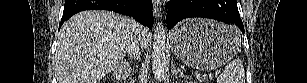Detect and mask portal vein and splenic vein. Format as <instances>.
Here are the masks:
<instances>
[{
	"label": "portal vein and splenic vein",
	"instance_id": "obj_1",
	"mask_svg": "<svg viewBox=\"0 0 307 83\" xmlns=\"http://www.w3.org/2000/svg\"><path fill=\"white\" fill-rule=\"evenodd\" d=\"M219 74V72H216V76Z\"/></svg>",
	"mask_w": 307,
	"mask_h": 83
}]
</instances>
